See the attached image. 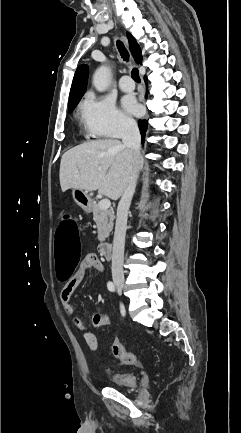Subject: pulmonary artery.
Instances as JSON below:
<instances>
[{
  "mask_svg": "<svg viewBox=\"0 0 241 433\" xmlns=\"http://www.w3.org/2000/svg\"><path fill=\"white\" fill-rule=\"evenodd\" d=\"M119 87L122 91L131 92L135 88V84L131 80V78L127 75H124L119 80Z\"/></svg>",
  "mask_w": 241,
  "mask_h": 433,
  "instance_id": "1",
  "label": "pulmonary artery"
}]
</instances>
